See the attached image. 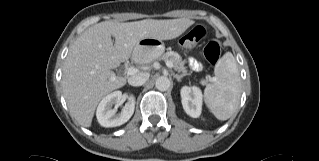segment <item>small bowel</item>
Wrapping results in <instances>:
<instances>
[{
    "mask_svg": "<svg viewBox=\"0 0 319 161\" xmlns=\"http://www.w3.org/2000/svg\"><path fill=\"white\" fill-rule=\"evenodd\" d=\"M189 66L193 69H199L201 67V63L196 58H189Z\"/></svg>",
    "mask_w": 319,
    "mask_h": 161,
    "instance_id": "c3829d8e",
    "label": "small bowel"
}]
</instances>
